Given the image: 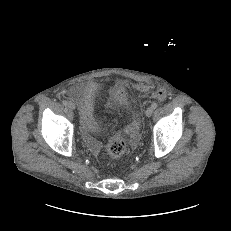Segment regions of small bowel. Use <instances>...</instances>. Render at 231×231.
I'll use <instances>...</instances> for the list:
<instances>
[{
    "instance_id": "c3829d8e",
    "label": "small bowel",
    "mask_w": 231,
    "mask_h": 231,
    "mask_svg": "<svg viewBox=\"0 0 231 231\" xmlns=\"http://www.w3.org/2000/svg\"><path fill=\"white\" fill-rule=\"evenodd\" d=\"M98 89L95 81L79 83L73 85L69 89V95L81 103V123L83 128V137L91 151L97 153L99 151V143L93 137V133L100 132V126L93 117V99ZM124 98L114 95V101L121 103ZM132 138H136V133L132 134Z\"/></svg>"
}]
</instances>
